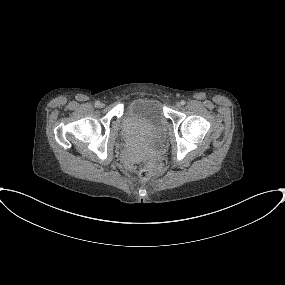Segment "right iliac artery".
Here are the masks:
<instances>
[{"label":"right iliac artery","mask_w":285,"mask_h":285,"mask_svg":"<svg viewBox=\"0 0 285 285\" xmlns=\"http://www.w3.org/2000/svg\"><path fill=\"white\" fill-rule=\"evenodd\" d=\"M99 104H100V102H99V101H96V102H95V106H96V107H98V106H99Z\"/></svg>","instance_id":"obj_1"}]
</instances>
